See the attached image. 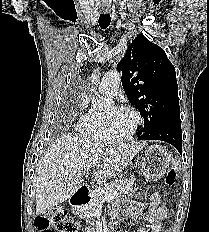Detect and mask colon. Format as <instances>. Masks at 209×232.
<instances>
[{
  "instance_id": "5ec220e1",
  "label": "colon",
  "mask_w": 209,
  "mask_h": 232,
  "mask_svg": "<svg viewBox=\"0 0 209 232\" xmlns=\"http://www.w3.org/2000/svg\"><path fill=\"white\" fill-rule=\"evenodd\" d=\"M177 177V170L171 167L166 175V184L173 185ZM34 225L39 232H77L78 226L69 218L64 208L58 207L36 216Z\"/></svg>"
}]
</instances>
